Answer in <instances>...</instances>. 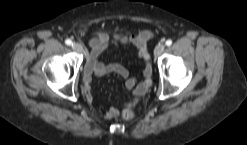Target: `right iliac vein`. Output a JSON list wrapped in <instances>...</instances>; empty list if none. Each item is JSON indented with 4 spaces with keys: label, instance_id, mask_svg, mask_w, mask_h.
<instances>
[{
    "label": "right iliac vein",
    "instance_id": "1",
    "mask_svg": "<svg viewBox=\"0 0 247 145\" xmlns=\"http://www.w3.org/2000/svg\"><path fill=\"white\" fill-rule=\"evenodd\" d=\"M72 48L76 50L77 52L81 53L82 52V46L79 43H74L72 45Z\"/></svg>",
    "mask_w": 247,
    "mask_h": 145
}]
</instances>
